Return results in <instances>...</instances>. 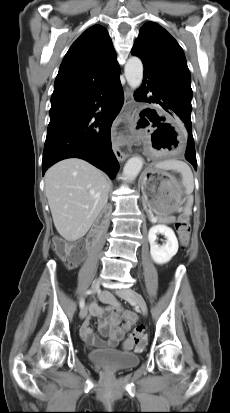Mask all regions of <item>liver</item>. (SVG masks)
I'll use <instances>...</instances> for the list:
<instances>
[{
  "label": "liver",
  "mask_w": 230,
  "mask_h": 413,
  "mask_svg": "<svg viewBox=\"0 0 230 413\" xmlns=\"http://www.w3.org/2000/svg\"><path fill=\"white\" fill-rule=\"evenodd\" d=\"M109 182L90 163L70 158L45 174V192L54 225L67 241L83 237L108 201Z\"/></svg>",
  "instance_id": "1"
}]
</instances>
